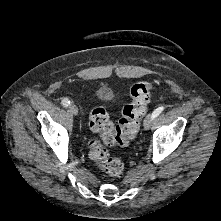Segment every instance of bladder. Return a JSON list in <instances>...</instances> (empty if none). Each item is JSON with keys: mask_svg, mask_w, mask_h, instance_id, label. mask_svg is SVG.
<instances>
[{"mask_svg": "<svg viewBox=\"0 0 221 221\" xmlns=\"http://www.w3.org/2000/svg\"><path fill=\"white\" fill-rule=\"evenodd\" d=\"M109 91H110L109 87L101 86V87L97 88L96 93L99 97H103Z\"/></svg>", "mask_w": 221, "mask_h": 221, "instance_id": "obj_1", "label": "bladder"}]
</instances>
